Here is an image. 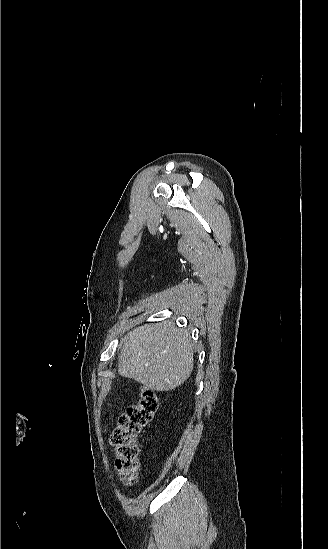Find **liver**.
<instances>
[{"label":"liver","instance_id":"1","mask_svg":"<svg viewBox=\"0 0 328 549\" xmlns=\"http://www.w3.org/2000/svg\"><path fill=\"white\" fill-rule=\"evenodd\" d=\"M193 365L189 333L175 329L170 321H163L128 333L123 341L118 373L151 391H173L187 381Z\"/></svg>","mask_w":328,"mask_h":549}]
</instances>
